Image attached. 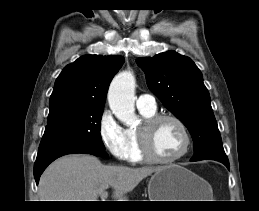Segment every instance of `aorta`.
Here are the masks:
<instances>
[{
    "instance_id": "1",
    "label": "aorta",
    "mask_w": 259,
    "mask_h": 211,
    "mask_svg": "<svg viewBox=\"0 0 259 211\" xmlns=\"http://www.w3.org/2000/svg\"><path fill=\"white\" fill-rule=\"evenodd\" d=\"M135 77L132 72L119 73L112 80L108 91V103L113 114L127 126L137 122L135 114Z\"/></svg>"
}]
</instances>
